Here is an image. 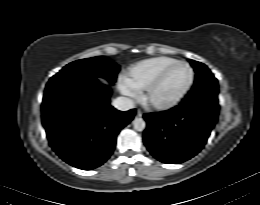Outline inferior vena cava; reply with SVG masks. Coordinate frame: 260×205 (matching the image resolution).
<instances>
[{
    "label": "inferior vena cava",
    "mask_w": 260,
    "mask_h": 205,
    "mask_svg": "<svg viewBox=\"0 0 260 205\" xmlns=\"http://www.w3.org/2000/svg\"><path fill=\"white\" fill-rule=\"evenodd\" d=\"M112 104L116 109L121 111H127L134 108V102L127 97H117Z\"/></svg>",
    "instance_id": "obj_1"
}]
</instances>
